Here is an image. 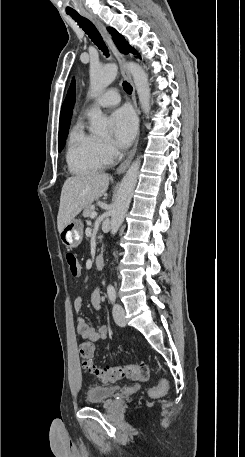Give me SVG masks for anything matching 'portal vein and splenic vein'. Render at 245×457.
<instances>
[{"instance_id":"portal-vein-and-splenic-vein-1","label":"portal vein and splenic vein","mask_w":245,"mask_h":457,"mask_svg":"<svg viewBox=\"0 0 245 457\" xmlns=\"http://www.w3.org/2000/svg\"><path fill=\"white\" fill-rule=\"evenodd\" d=\"M95 216H97V212H95V210H94V212H91L90 218H95Z\"/></svg>"}]
</instances>
